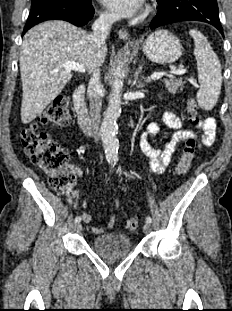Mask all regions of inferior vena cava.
I'll return each instance as SVG.
<instances>
[{"instance_id":"602c4592","label":"inferior vena cava","mask_w":232,"mask_h":311,"mask_svg":"<svg viewBox=\"0 0 232 311\" xmlns=\"http://www.w3.org/2000/svg\"><path fill=\"white\" fill-rule=\"evenodd\" d=\"M118 19L116 14H100L99 18L93 23V32L89 35V42L93 51L99 52L104 46L107 36L111 30L112 24ZM100 69L99 66L92 71V77L88 84L87 94L90 102V115L93 127V133L98 140L100 136L99 123L101 111L100 96Z\"/></svg>"}]
</instances>
